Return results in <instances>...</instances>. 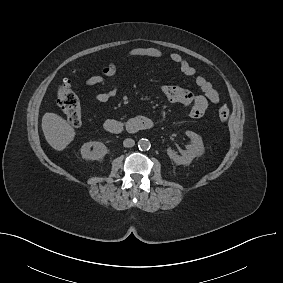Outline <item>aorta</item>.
I'll return each instance as SVG.
<instances>
[{
    "mask_svg": "<svg viewBox=\"0 0 283 283\" xmlns=\"http://www.w3.org/2000/svg\"><path fill=\"white\" fill-rule=\"evenodd\" d=\"M138 147L140 150H149L151 147V143L148 139L142 138L138 141Z\"/></svg>",
    "mask_w": 283,
    "mask_h": 283,
    "instance_id": "aorta-1",
    "label": "aorta"
}]
</instances>
